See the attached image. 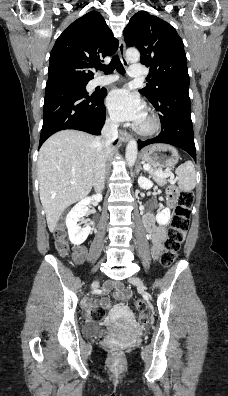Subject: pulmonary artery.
Segmentation results:
<instances>
[{"instance_id":"e3ab8cb5","label":"pulmonary artery","mask_w":228,"mask_h":396,"mask_svg":"<svg viewBox=\"0 0 228 396\" xmlns=\"http://www.w3.org/2000/svg\"><path fill=\"white\" fill-rule=\"evenodd\" d=\"M128 74L132 78H142L145 74L143 68L138 65H131ZM118 79L117 76H106V77H96L93 81L95 86L107 85L115 82Z\"/></svg>"}]
</instances>
